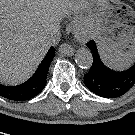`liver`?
Masks as SVG:
<instances>
[{"mask_svg": "<svg viewBox=\"0 0 135 135\" xmlns=\"http://www.w3.org/2000/svg\"><path fill=\"white\" fill-rule=\"evenodd\" d=\"M70 0H0V81L27 79L48 51L45 38L59 31Z\"/></svg>", "mask_w": 135, "mask_h": 135, "instance_id": "liver-1", "label": "liver"}]
</instances>
